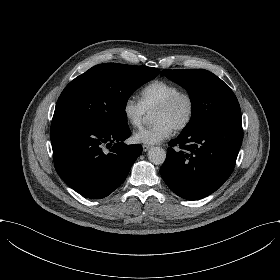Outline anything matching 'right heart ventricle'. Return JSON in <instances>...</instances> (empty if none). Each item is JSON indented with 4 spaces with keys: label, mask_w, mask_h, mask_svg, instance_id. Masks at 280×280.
<instances>
[{
    "label": "right heart ventricle",
    "mask_w": 280,
    "mask_h": 280,
    "mask_svg": "<svg viewBox=\"0 0 280 280\" xmlns=\"http://www.w3.org/2000/svg\"><path fill=\"white\" fill-rule=\"evenodd\" d=\"M180 87L177 84L166 80H153L146 84L140 91V102L143 104L147 112L153 111L163 101L170 98Z\"/></svg>",
    "instance_id": "e07e8e85"
}]
</instances>
